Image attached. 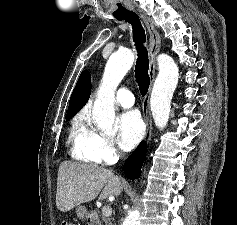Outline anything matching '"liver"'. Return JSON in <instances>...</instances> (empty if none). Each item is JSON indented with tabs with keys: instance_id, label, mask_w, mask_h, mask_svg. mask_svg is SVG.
Listing matches in <instances>:
<instances>
[{
	"instance_id": "1",
	"label": "liver",
	"mask_w": 237,
	"mask_h": 225,
	"mask_svg": "<svg viewBox=\"0 0 237 225\" xmlns=\"http://www.w3.org/2000/svg\"><path fill=\"white\" fill-rule=\"evenodd\" d=\"M123 190L120 178L109 169L93 164L62 162L58 170L56 206L67 212L81 203L119 196ZM101 192V193H100Z\"/></svg>"
}]
</instances>
